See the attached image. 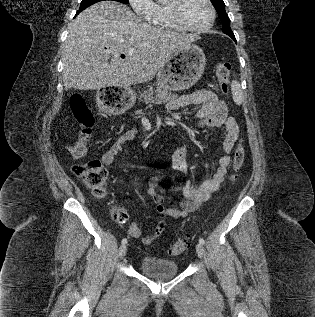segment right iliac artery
Here are the masks:
<instances>
[{
    "label": "right iliac artery",
    "mask_w": 315,
    "mask_h": 317,
    "mask_svg": "<svg viewBox=\"0 0 315 317\" xmlns=\"http://www.w3.org/2000/svg\"><path fill=\"white\" fill-rule=\"evenodd\" d=\"M121 243L122 245H125L127 243V239L126 238L122 239Z\"/></svg>",
    "instance_id": "right-iliac-artery-1"
}]
</instances>
